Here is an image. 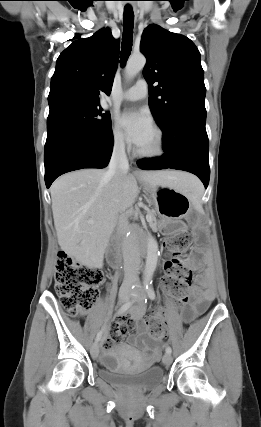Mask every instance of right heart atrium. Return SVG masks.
Segmentation results:
<instances>
[{
    "mask_svg": "<svg viewBox=\"0 0 261 427\" xmlns=\"http://www.w3.org/2000/svg\"><path fill=\"white\" fill-rule=\"evenodd\" d=\"M111 141L114 151L123 153L126 150L124 136L116 126H113L111 129Z\"/></svg>",
    "mask_w": 261,
    "mask_h": 427,
    "instance_id": "obj_1",
    "label": "right heart atrium"
}]
</instances>
